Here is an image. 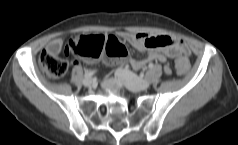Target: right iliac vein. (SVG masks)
<instances>
[{
  "label": "right iliac vein",
  "mask_w": 238,
  "mask_h": 145,
  "mask_svg": "<svg viewBox=\"0 0 238 145\" xmlns=\"http://www.w3.org/2000/svg\"><path fill=\"white\" fill-rule=\"evenodd\" d=\"M93 79L92 78H85L84 80H83V85L85 86V87H90V86H92L93 85Z\"/></svg>",
  "instance_id": "1"
}]
</instances>
